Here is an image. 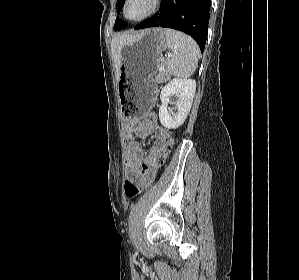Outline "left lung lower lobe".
<instances>
[{
    "label": "left lung lower lobe",
    "instance_id": "0a47b994",
    "mask_svg": "<svg viewBox=\"0 0 299 280\" xmlns=\"http://www.w3.org/2000/svg\"><path fill=\"white\" fill-rule=\"evenodd\" d=\"M211 0H161L159 11L135 29L166 27L192 36L203 52L207 39Z\"/></svg>",
    "mask_w": 299,
    "mask_h": 280
}]
</instances>
